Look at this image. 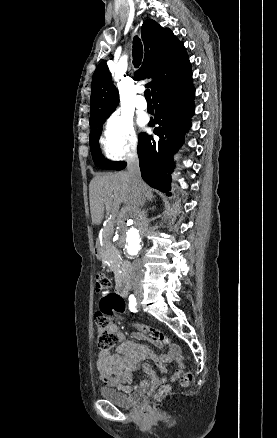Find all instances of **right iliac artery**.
Returning a JSON list of instances; mask_svg holds the SVG:
<instances>
[{
    "label": "right iliac artery",
    "mask_w": 277,
    "mask_h": 438,
    "mask_svg": "<svg viewBox=\"0 0 277 438\" xmlns=\"http://www.w3.org/2000/svg\"><path fill=\"white\" fill-rule=\"evenodd\" d=\"M129 309H130L131 312H136L137 311L136 298L133 295L129 296Z\"/></svg>",
    "instance_id": "right-iliac-artery-1"
}]
</instances>
